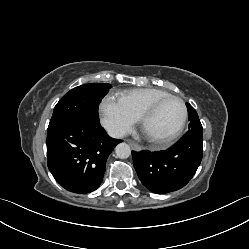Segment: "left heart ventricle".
I'll return each instance as SVG.
<instances>
[{
	"mask_svg": "<svg viewBox=\"0 0 249 249\" xmlns=\"http://www.w3.org/2000/svg\"><path fill=\"white\" fill-rule=\"evenodd\" d=\"M182 118V104L178 100H167L145 122L143 133L150 138H164L178 128Z\"/></svg>",
	"mask_w": 249,
	"mask_h": 249,
	"instance_id": "b2bd125f",
	"label": "left heart ventricle"
}]
</instances>
